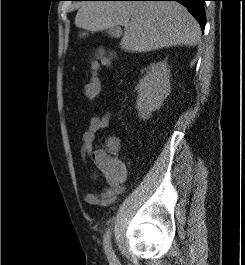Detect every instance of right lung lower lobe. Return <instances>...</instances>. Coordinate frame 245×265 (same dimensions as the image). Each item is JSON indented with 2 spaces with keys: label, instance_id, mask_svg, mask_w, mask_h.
I'll return each instance as SVG.
<instances>
[{
  "label": "right lung lower lobe",
  "instance_id": "98d812e1",
  "mask_svg": "<svg viewBox=\"0 0 245 265\" xmlns=\"http://www.w3.org/2000/svg\"><path fill=\"white\" fill-rule=\"evenodd\" d=\"M127 1H177L190 10L192 15L199 22L202 30H204L206 24V15L204 11L205 0H127Z\"/></svg>",
  "mask_w": 245,
  "mask_h": 265
}]
</instances>
